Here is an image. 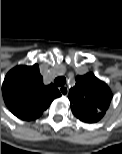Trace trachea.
Returning <instances> with one entry per match:
<instances>
[{
	"instance_id": "trachea-1",
	"label": "trachea",
	"mask_w": 122,
	"mask_h": 154,
	"mask_svg": "<svg viewBox=\"0 0 122 154\" xmlns=\"http://www.w3.org/2000/svg\"><path fill=\"white\" fill-rule=\"evenodd\" d=\"M65 83H66V78L63 77V76L57 77V78H55V80H54V84H55L56 86H64Z\"/></svg>"
}]
</instances>
